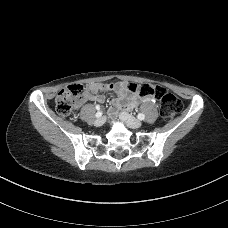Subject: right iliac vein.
<instances>
[{
    "instance_id": "63e3f726",
    "label": "right iliac vein",
    "mask_w": 228,
    "mask_h": 228,
    "mask_svg": "<svg viewBox=\"0 0 228 228\" xmlns=\"http://www.w3.org/2000/svg\"><path fill=\"white\" fill-rule=\"evenodd\" d=\"M104 122H105V118L104 117L98 118V119H96L94 121V125L99 127V126H102L104 124Z\"/></svg>"
}]
</instances>
